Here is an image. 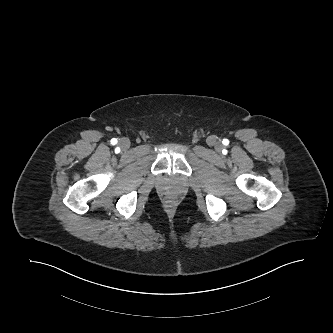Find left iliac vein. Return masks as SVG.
Listing matches in <instances>:
<instances>
[{
  "instance_id": "left-iliac-vein-1",
  "label": "left iliac vein",
  "mask_w": 333,
  "mask_h": 333,
  "mask_svg": "<svg viewBox=\"0 0 333 333\" xmlns=\"http://www.w3.org/2000/svg\"><path fill=\"white\" fill-rule=\"evenodd\" d=\"M215 147L218 148L217 144H215Z\"/></svg>"
}]
</instances>
